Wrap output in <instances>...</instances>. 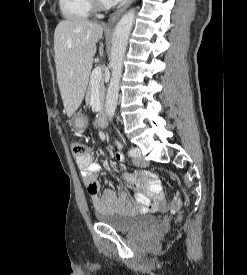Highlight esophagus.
<instances>
[{"mask_svg": "<svg viewBox=\"0 0 247 275\" xmlns=\"http://www.w3.org/2000/svg\"><path fill=\"white\" fill-rule=\"evenodd\" d=\"M134 2V0H128V2L119 10H117L109 19V24L113 25L124 13V11Z\"/></svg>", "mask_w": 247, "mask_h": 275, "instance_id": "esophagus-1", "label": "esophagus"}]
</instances>
